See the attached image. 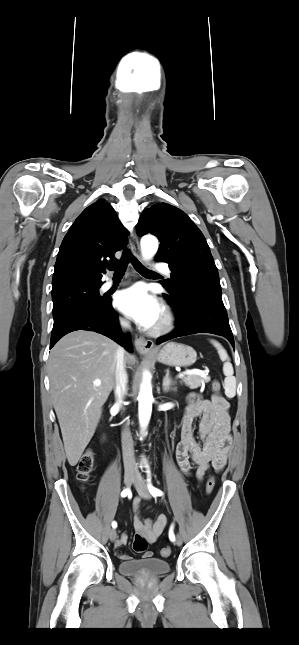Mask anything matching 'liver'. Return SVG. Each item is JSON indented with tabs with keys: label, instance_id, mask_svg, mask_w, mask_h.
Returning <instances> with one entry per match:
<instances>
[{
	"label": "liver",
	"instance_id": "6515ba94",
	"mask_svg": "<svg viewBox=\"0 0 299 645\" xmlns=\"http://www.w3.org/2000/svg\"><path fill=\"white\" fill-rule=\"evenodd\" d=\"M119 346L91 331H74L52 348L48 360L50 393L61 428L66 457L75 466L93 437L102 407L115 387ZM125 360L134 363V356ZM101 385L95 386L94 381Z\"/></svg>",
	"mask_w": 299,
	"mask_h": 645
}]
</instances>
